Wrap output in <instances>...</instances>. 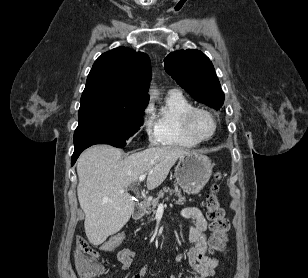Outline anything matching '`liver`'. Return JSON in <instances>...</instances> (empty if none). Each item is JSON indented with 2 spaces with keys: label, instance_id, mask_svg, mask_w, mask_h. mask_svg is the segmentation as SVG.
I'll return each instance as SVG.
<instances>
[{
  "label": "liver",
  "instance_id": "liver-1",
  "mask_svg": "<svg viewBox=\"0 0 308 278\" xmlns=\"http://www.w3.org/2000/svg\"><path fill=\"white\" fill-rule=\"evenodd\" d=\"M188 153L179 147H152L121 159V150L110 145L85 150L77 161V195L90 243L102 244L130 219L134 202L120 190L136 182L141 174H147V188L155 189L178 158Z\"/></svg>",
  "mask_w": 308,
  "mask_h": 278
}]
</instances>
